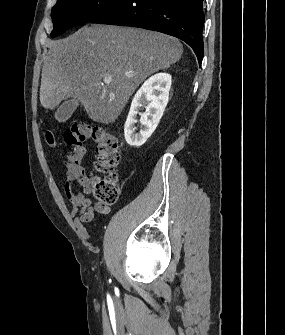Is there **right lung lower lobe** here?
Wrapping results in <instances>:
<instances>
[{
	"mask_svg": "<svg viewBox=\"0 0 285 335\" xmlns=\"http://www.w3.org/2000/svg\"><path fill=\"white\" fill-rule=\"evenodd\" d=\"M204 20L203 0H119L88 22L142 27L177 37L194 50L201 65Z\"/></svg>",
	"mask_w": 285,
	"mask_h": 335,
	"instance_id": "1",
	"label": "right lung lower lobe"
}]
</instances>
